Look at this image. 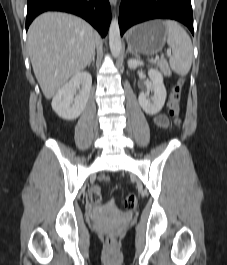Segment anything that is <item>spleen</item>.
I'll list each match as a JSON object with an SVG mask.
<instances>
[{
  "instance_id": "obj_1",
  "label": "spleen",
  "mask_w": 227,
  "mask_h": 265,
  "mask_svg": "<svg viewBox=\"0 0 227 265\" xmlns=\"http://www.w3.org/2000/svg\"><path fill=\"white\" fill-rule=\"evenodd\" d=\"M163 24L167 30V43L173 53L169 65L175 73L185 76L192 64L193 46L191 39L176 21L166 20Z\"/></svg>"
}]
</instances>
